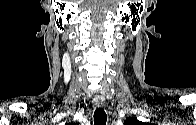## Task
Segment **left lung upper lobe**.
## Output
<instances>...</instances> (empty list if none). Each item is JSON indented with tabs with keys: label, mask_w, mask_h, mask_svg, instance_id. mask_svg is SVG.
<instances>
[{
	"label": "left lung upper lobe",
	"mask_w": 196,
	"mask_h": 125,
	"mask_svg": "<svg viewBox=\"0 0 196 125\" xmlns=\"http://www.w3.org/2000/svg\"><path fill=\"white\" fill-rule=\"evenodd\" d=\"M142 122L138 121L136 118H128L125 122L124 125H138L141 124Z\"/></svg>",
	"instance_id": "5c2ea615"
}]
</instances>
